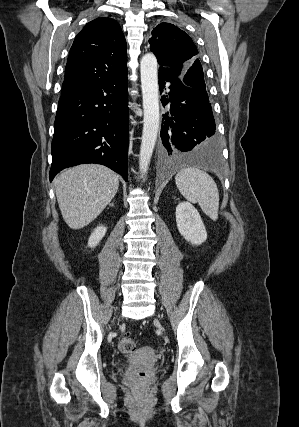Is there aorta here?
I'll return each instance as SVG.
<instances>
[{
	"mask_svg": "<svg viewBox=\"0 0 299 427\" xmlns=\"http://www.w3.org/2000/svg\"><path fill=\"white\" fill-rule=\"evenodd\" d=\"M157 66V59L153 53H147L142 57L140 73L144 119L139 154V168L142 175H145L148 171V166L159 130V87Z\"/></svg>",
	"mask_w": 299,
	"mask_h": 427,
	"instance_id": "aorta-1",
	"label": "aorta"
}]
</instances>
